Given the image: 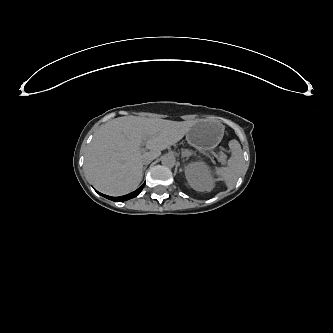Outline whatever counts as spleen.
Listing matches in <instances>:
<instances>
[{
	"instance_id": "1",
	"label": "spleen",
	"mask_w": 333,
	"mask_h": 333,
	"mask_svg": "<svg viewBox=\"0 0 333 333\" xmlns=\"http://www.w3.org/2000/svg\"><path fill=\"white\" fill-rule=\"evenodd\" d=\"M228 167H229V168H231V167H232V165H229Z\"/></svg>"
}]
</instances>
